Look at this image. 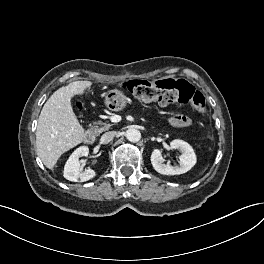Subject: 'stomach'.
Segmentation results:
<instances>
[{
    "label": "stomach",
    "mask_w": 264,
    "mask_h": 264,
    "mask_svg": "<svg viewBox=\"0 0 264 264\" xmlns=\"http://www.w3.org/2000/svg\"><path fill=\"white\" fill-rule=\"evenodd\" d=\"M103 96L106 107L112 111H121L128 103V97L119 89L109 90Z\"/></svg>",
    "instance_id": "obj_1"
}]
</instances>
